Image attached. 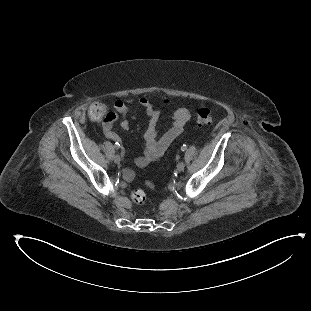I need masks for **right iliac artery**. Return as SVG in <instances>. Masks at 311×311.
<instances>
[{"instance_id": "obj_1", "label": "right iliac artery", "mask_w": 311, "mask_h": 311, "mask_svg": "<svg viewBox=\"0 0 311 311\" xmlns=\"http://www.w3.org/2000/svg\"><path fill=\"white\" fill-rule=\"evenodd\" d=\"M114 148H115V149H119V148H120V143H119V142H116L115 145H114Z\"/></svg>"}]
</instances>
